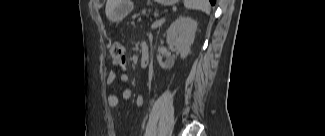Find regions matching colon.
<instances>
[{
  "instance_id": "5ec220e1",
  "label": "colon",
  "mask_w": 325,
  "mask_h": 136,
  "mask_svg": "<svg viewBox=\"0 0 325 136\" xmlns=\"http://www.w3.org/2000/svg\"><path fill=\"white\" fill-rule=\"evenodd\" d=\"M124 51L123 44L118 41L113 42L109 48L110 57L115 61H124Z\"/></svg>"
}]
</instances>
